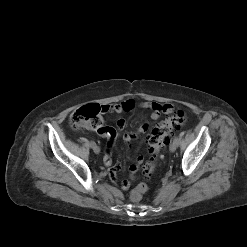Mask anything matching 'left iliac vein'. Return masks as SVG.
I'll return each instance as SVG.
<instances>
[{"label": "left iliac vein", "mask_w": 247, "mask_h": 247, "mask_svg": "<svg viewBox=\"0 0 247 247\" xmlns=\"http://www.w3.org/2000/svg\"><path fill=\"white\" fill-rule=\"evenodd\" d=\"M177 146H178V144H177L175 141H173V142L170 144V147H169L170 151H171V152H175L176 149H177Z\"/></svg>", "instance_id": "left-iliac-vein-1"}]
</instances>
